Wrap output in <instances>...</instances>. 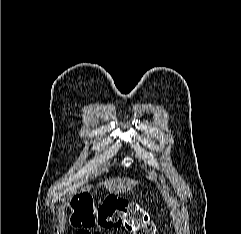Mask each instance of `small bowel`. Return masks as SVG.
<instances>
[{
    "label": "small bowel",
    "mask_w": 241,
    "mask_h": 234,
    "mask_svg": "<svg viewBox=\"0 0 241 234\" xmlns=\"http://www.w3.org/2000/svg\"><path fill=\"white\" fill-rule=\"evenodd\" d=\"M78 234H99V233H92V232H90V231L87 230V229H83V230L79 231Z\"/></svg>",
    "instance_id": "1"
}]
</instances>
